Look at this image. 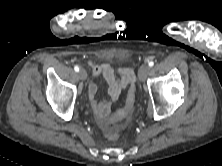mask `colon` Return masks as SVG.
I'll list each match as a JSON object with an SVG mask.
<instances>
[{"mask_svg":"<svg viewBox=\"0 0 222 166\" xmlns=\"http://www.w3.org/2000/svg\"><path fill=\"white\" fill-rule=\"evenodd\" d=\"M134 101H135V88L134 86H132L127 93L124 106L115 113V115L113 116L111 120L117 121V120H121L125 118L127 114L131 111L134 105ZM106 135L111 140H115L118 137L117 132L111 129L106 133Z\"/></svg>","mask_w":222,"mask_h":166,"instance_id":"5ec220e1","label":"colon"}]
</instances>
